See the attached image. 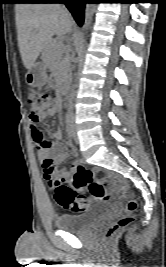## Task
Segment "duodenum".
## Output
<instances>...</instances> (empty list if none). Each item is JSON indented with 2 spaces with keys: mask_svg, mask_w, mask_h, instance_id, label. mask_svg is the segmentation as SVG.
<instances>
[{
  "mask_svg": "<svg viewBox=\"0 0 166 267\" xmlns=\"http://www.w3.org/2000/svg\"><path fill=\"white\" fill-rule=\"evenodd\" d=\"M68 87V82L66 79L62 80L60 85V93L61 95H65Z\"/></svg>",
  "mask_w": 166,
  "mask_h": 267,
  "instance_id": "obj_1",
  "label": "duodenum"
}]
</instances>
